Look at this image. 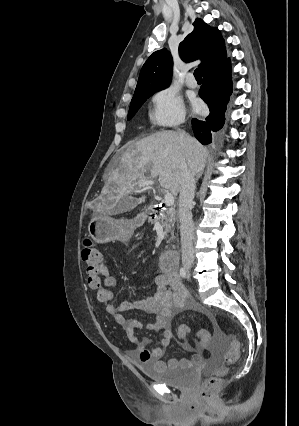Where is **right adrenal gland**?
<instances>
[{
    "label": "right adrenal gland",
    "instance_id": "2a0ac1e0",
    "mask_svg": "<svg viewBox=\"0 0 299 426\" xmlns=\"http://www.w3.org/2000/svg\"><path fill=\"white\" fill-rule=\"evenodd\" d=\"M200 177H201L200 175H197V176H196V178H195V183H196V184H197L198 180L200 179Z\"/></svg>",
    "mask_w": 299,
    "mask_h": 426
}]
</instances>
